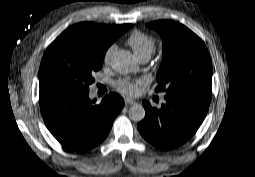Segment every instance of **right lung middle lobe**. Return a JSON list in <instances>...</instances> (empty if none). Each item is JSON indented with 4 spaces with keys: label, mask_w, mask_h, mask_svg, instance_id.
Wrapping results in <instances>:
<instances>
[{
    "label": "right lung middle lobe",
    "mask_w": 255,
    "mask_h": 177,
    "mask_svg": "<svg viewBox=\"0 0 255 177\" xmlns=\"http://www.w3.org/2000/svg\"><path fill=\"white\" fill-rule=\"evenodd\" d=\"M131 24H123L119 36ZM112 40L65 31L47 48L39 69L40 95L54 91L86 92L101 69Z\"/></svg>",
    "instance_id": "right-lung-middle-lobe-1"
}]
</instances>
